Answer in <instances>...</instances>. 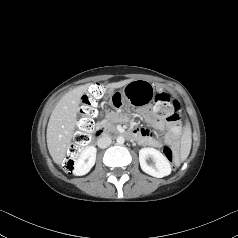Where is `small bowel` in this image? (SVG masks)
Listing matches in <instances>:
<instances>
[{
    "label": "small bowel",
    "instance_id": "small-bowel-1",
    "mask_svg": "<svg viewBox=\"0 0 238 238\" xmlns=\"http://www.w3.org/2000/svg\"><path fill=\"white\" fill-rule=\"evenodd\" d=\"M142 114L143 117L149 121L154 128L160 131L166 129V133L163 137V140H161L155 137L150 131L141 129L135 132L136 138L140 143L151 147H161L162 145L179 147L186 145L187 139L178 121L165 123L160 120H154L147 111H143Z\"/></svg>",
    "mask_w": 238,
    "mask_h": 238
}]
</instances>
